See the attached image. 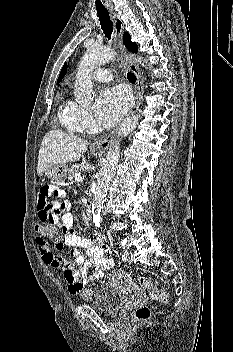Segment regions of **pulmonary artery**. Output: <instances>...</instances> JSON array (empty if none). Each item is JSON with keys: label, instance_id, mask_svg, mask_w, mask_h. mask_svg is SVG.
<instances>
[{"label": "pulmonary artery", "instance_id": "e3ab8cb5", "mask_svg": "<svg viewBox=\"0 0 233 352\" xmlns=\"http://www.w3.org/2000/svg\"><path fill=\"white\" fill-rule=\"evenodd\" d=\"M92 77L97 81H110L112 80V74L109 70L99 68L92 73Z\"/></svg>", "mask_w": 233, "mask_h": 352}]
</instances>
